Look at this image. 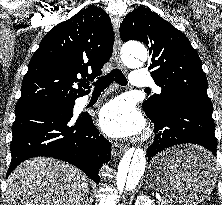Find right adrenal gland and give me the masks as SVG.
Returning <instances> with one entry per match:
<instances>
[{"label":"right adrenal gland","mask_w":222,"mask_h":205,"mask_svg":"<svg viewBox=\"0 0 222 205\" xmlns=\"http://www.w3.org/2000/svg\"><path fill=\"white\" fill-rule=\"evenodd\" d=\"M87 202H88V197H86V199H85L83 205H87Z\"/></svg>","instance_id":"right-adrenal-gland-1"}]
</instances>
